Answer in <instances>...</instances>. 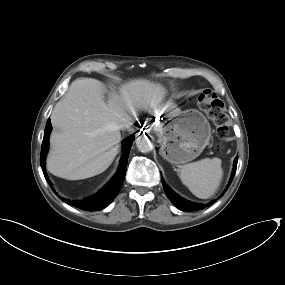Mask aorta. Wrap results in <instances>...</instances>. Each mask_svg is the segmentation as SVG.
I'll use <instances>...</instances> for the list:
<instances>
[{"label": "aorta", "instance_id": "obj_1", "mask_svg": "<svg viewBox=\"0 0 285 285\" xmlns=\"http://www.w3.org/2000/svg\"><path fill=\"white\" fill-rule=\"evenodd\" d=\"M136 146L142 153H148L154 148L152 140L146 135H141L136 139Z\"/></svg>", "mask_w": 285, "mask_h": 285}]
</instances>
